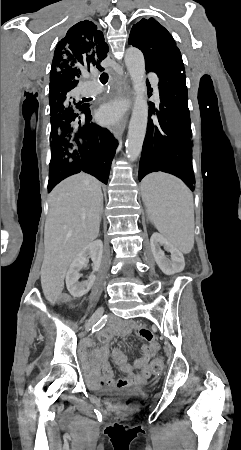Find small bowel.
<instances>
[{
	"label": "small bowel",
	"instance_id": "obj_1",
	"mask_svg": "<svg viewBox=\"0 0 241 450\" xmlns=\"http://www.w3.org/2000/svg\"><path fill=\"white\" fill-rule=\"evenodd\" d=\"M130 333H135L147 343L140 347V357L132 364L128 362L121 348L113 349L112 360L125 373L124 377H115L108 362L109 344L114 335L125 337ZM96 337L101 343L100 348L94 349L92 356L82 358L83 368L88 370V380L92 387L121 389L147 383L151 376L149 363L160 350V344L148 327L134 320H120L100 330ZM93 345L92 339H85L81 347L87 349Z\"/></svg>",
	"mask_w": 241,
	"mask_h": 450
}]
</instances>
